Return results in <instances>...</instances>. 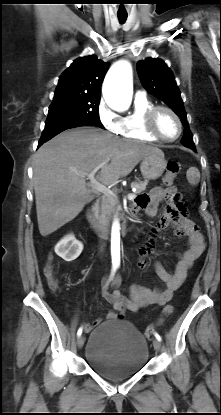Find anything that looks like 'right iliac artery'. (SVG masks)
<instances>
[{
	"instance_id": "right-iliac-artery-1",
	"label": "right iliac artery",
	"mask_w": 221,
	"mask_h": 415,
	"mask_svg": "<svg viewBox=\"0 0 221 415\" xmlns=\"http://www.w3.org/2000/svg\"><path fill=\"white\" fill-rule=\"evenodd\" d=\"M115 271H116V268H113V269H112V273H111V275H113V274L115 273ZM81 334H82V327H80V328L78 329V331H77V336L79 337Z\"/></svg>"
}]
</instances>
